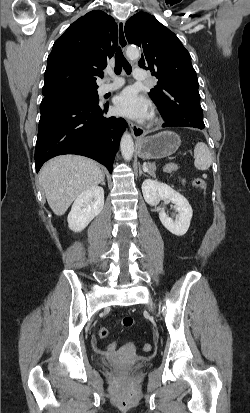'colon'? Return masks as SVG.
<instances>
[{
    "mask_svg": "<svg viewBox=\"0 0 250 413\" xmlns=\"http://www.w3.org/2000/svg\"><path fill=\"white\" fill-rule=\"evenodd\" d=\"M178 169H179V165L177 163H173V162L168 163L164 166V171L168 172V173L177 171ZM192 184L195 188L200 189L203 193H205L206 183L202 178L194 179ZM133 323H134V319L131 316H125L121 319V325L123 327H130V326L133 325ZM107 335H108L107 325L103 324L102 327H100L98 329V336L100 338H105V337H107ZM116 345H117V340H112L110 342H107L106 343V352L109 355H113L116 352V349H115ZM151 349H152V346L148 343L143 346V350L145 352H149V351H151Z\"/></svg>",
    "mask_w": 250,
    "mask_h": 413,
    "instance_id": "5ec220e1",
    "label": "colon"
}]
</instances>
